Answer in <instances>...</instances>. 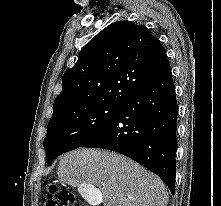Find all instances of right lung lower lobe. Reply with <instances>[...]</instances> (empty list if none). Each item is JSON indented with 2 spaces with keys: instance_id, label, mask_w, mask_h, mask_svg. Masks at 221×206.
Segmentation results:
<instances>
[{
  "instance_id": "98d812e1",
  "label": "right lung lower lobe",
  "mask_w": 221,
  "mask_h": 206,
  "mask_svg": "<svg viewBox=\"0 0 221 206\" xmlns=\"http://www.w3.org/2000/svg\"><path fill=\"white\" fill-rule=\"evenodd\" d=\"M177 112L169 67L127 98L117 116L81 147L128 156L157 174L174 195Z\"/></svg>"
}]
</instances>
